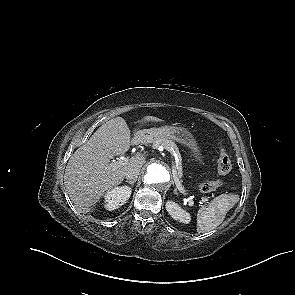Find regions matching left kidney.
Here are the masks:
<instances>
[{
	"mask_svg": "<svg viewBox=\"0 0 295 295\" xmlns=\"http://www.w3.org/2000/svg\"><path fill=\"white\" fill-rule=\"evenodd\" d=\"M166 210L171 217L179 222L188 224L191 220L189 213L183 210L177 203L173 201H167Z\"/></svg>",
	"mask_w": 295,
	"mask_h": 295,
	"instance_id": "obj_1",
	"label": "left kidney"
}]
</instances>
